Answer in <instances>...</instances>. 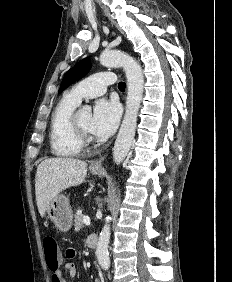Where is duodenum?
I'll use <instances>...</instances> for the list:
<instances>
[{"label": "duodenum", "mask_w": 232, "mask_h": 282, "mask_svg": "<svg viewBox=\"0 0 232 282\" xmlns=\"http://www.w3.org/2000/svg\"><path fill=\"white\" fill-rule=\"evenodd\" d=\"M87 245L89 248H96L98 245V237L95 234H91L87 237Z\"/></svg>", "instance_id": "1"}]
</instances>
